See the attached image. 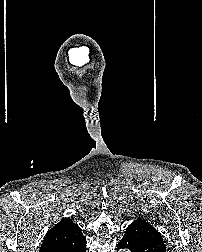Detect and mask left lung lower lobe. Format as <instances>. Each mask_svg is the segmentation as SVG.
<instances>
[{
	"label": "left lung lower lobe",
	"instance_id": "0a47b994",
	"mask_svg": "<svg viewBox=\"0 0 202 252\" xmlns=\"http://www.w3.org/2000/svg\"><path fill=\"white\" fill-rule=\"evenodd\" d=\"M117 249H129L130 252H166L161 234L144 220H137L126 228Z\"/></svg>",
	"mask_w": 202,
	"mask_h": 252
}]
</instances>
